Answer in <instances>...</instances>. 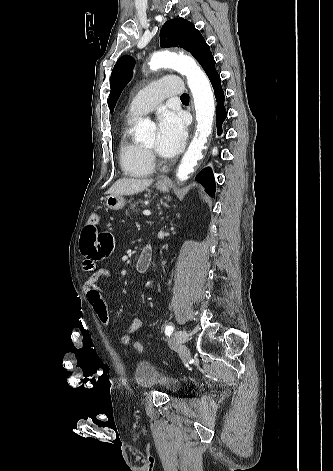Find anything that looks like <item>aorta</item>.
<instances>
[{"mask_svg":"<svg viewBox=\"0 0 333 471\" xmlns=\"http://www.w3.org/2000/svg\"><path fill=\"white\" fill-rule=\"evenodd\" d=\"M149 64L152 69L170 67L185 76L193 95L197 130L176 173L180 181H186L201 159L202 150L212 131L215 114L213 92L207 76L191 57L160 51L152 56ZM154 129L155 126L152 122L140 120L135 127V138L145 141L149 139Z\"/></svg>","mask_w":333,"mask_h":471,"instance_id":"aorta-1","label":"aorta"}]
</instances>
